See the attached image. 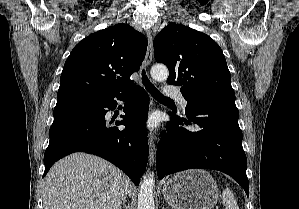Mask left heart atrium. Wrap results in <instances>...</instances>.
Segmentation results:
<instances>
[{"mask_svg":"<svg viewBox=\"0 0 299 209\" xmlns=\"http://www.w3.org/2000/svg\"><path fill=\"white\" fill-rule=\"evenodd\" d=\"M157 124V121H156V118L154 116H151L149 119H148V125L150 127H155Z\"/></svg>","mask_w":299,"mask_h":209,"instance_id":"obj_1","label":"left heart atrium"}]
</instances>
